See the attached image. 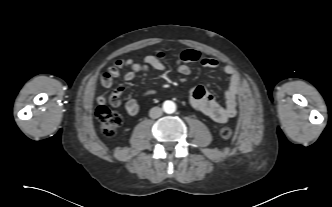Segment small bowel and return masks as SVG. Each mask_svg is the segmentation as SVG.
Here are the masks:
<instances>
[{
	"label": "small bowel",
	"mask_w": 332,
	"mask_h": 207,
	"mask_svg": "<svg viewBox=\"0 0 332 207\" xmlns=\"http://www.w3.org/2000/svg\"><path fill=\"white\" fill-rule=\"evenodd\" d=\"M165 53L161 50L154 52L153 54L146 55L142 62L138 63L132 59L117 60L108 71L102 74L101 83L104 87L110 88L114 84L120 70L128 68L129 71L124 75L126 81H133L137 74L140 72H147L150 68L158 71H164L166 65L164 63ZM198 62L205 68H217L219 63L215 59L202 57L201 54L192 49L183 51L177 61V70L182 75H189L191 68L189 63ZM223 72L228 78L229 87L225 94V104L221 105L217 103L204 86L198 85L191 87L188 90L190 102L192 106L208 116L217 123H225L232 119L237 114V102L240 91V76L231 65H225ZM115 92L121 97L124 92V87H118ZM154 90H148L146 96L152 95ZM126 111L129 115L135 116L139 112V105L135 99H129L125 104Z\"/></svg>",
	"instance_id": "c3829d8e"
}]
</instances>
